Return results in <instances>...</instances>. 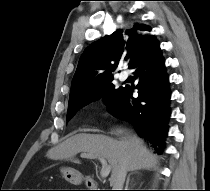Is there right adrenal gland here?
Here are the masks:
<instances>
[{
	"label": "right adrenal gland",
	"mask_w": 210,
	"mask_h": 191,
	"mask_svg": "<svg viewBox=\"0 0 210 191\" xmlns=\"http://www.w3.org/2000/svg\"><path fill=\"white\" fill-rule=\"evenodd\" d=\"M131 174H132V173H131ZM131 174H129L128 177H127L125 190H129L128 187H129V182H130V176H131Z\"/></svg>",
	"instance_id": "1"
}]
</instances>
